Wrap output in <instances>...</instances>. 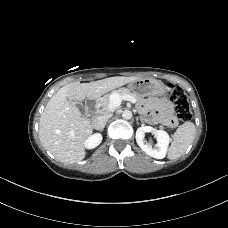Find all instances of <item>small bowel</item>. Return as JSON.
Segmentation results:
<instances>
[{
  "label": "small bowel",
  "mask_w": 228,
  "mask_h": 228,
  "mask_svg": "<svg viewBox=\"0 0 228 228\" xmlns=\"http://www.w3.org/2000/svg\"><path fill=\"white\" fill-rule=\"evenodd\" d=\"M171 105L168 100L162 99H155L151 101V111L150 115L153 118L161 119L163 122L167 123L168 121V114L170 113Z\"/></svg>",
  "instance_id": "obj_1"
}]
</instances>
